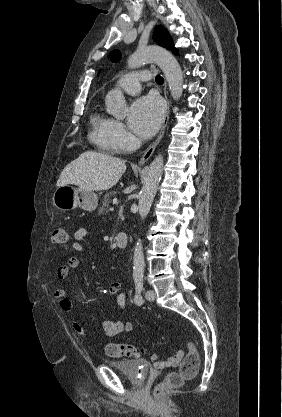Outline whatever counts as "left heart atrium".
Wrapping results in <instances>:
<instances>
[{
  "mask_svg": "<svg viewBox=\"0 0 282 417\" xmlns=\"http://www.w3.org/2000/svg\"><path fill=\"white\" fill-rule=\"evenodd\" d=\"M162 116L161 100L153 96L143 97L130 108L129 127L139 136H150L158 129Z\"/></svg>",
  "mask_w": 282,
  "mask_h": 417,
  "instance_id": "39dd6f15",
  "label": "left heart atrium"
}]
</instances>
